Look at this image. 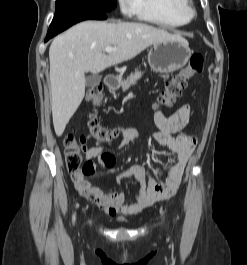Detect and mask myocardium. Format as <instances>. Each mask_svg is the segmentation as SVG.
Listing matches in <instances>:
<instances>
[{
	"instance_id": "1",
	"label": "myocardium",
	"mask_w": 247,
	"mask_h": 265,
	"mask_svg": "<svg viewBox=\"0 0 247 265\" xmlns=\"http://www.w3.org/2000/svg\"><path fill=\"white\" fill-rule=\"evenodd\" d=\"M185 13L188 16V18L191 19L195 16L196 11L191 5H188L185 9Z\"/></svg>"
}]
</instances>
